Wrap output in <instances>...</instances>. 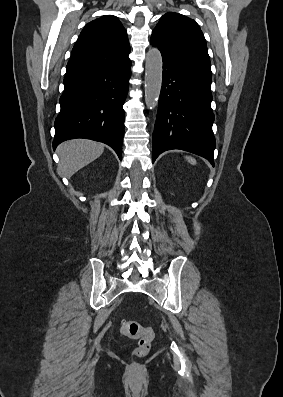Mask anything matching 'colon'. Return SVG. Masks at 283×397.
Here are the masks:
<instances>
[{
	"label": "colon",
	"mask_w": 283,
	"mask_h": 397,
	"mask_svg": "<svg viewBox=\"0 0 283 397\" xmlns=\"http://www.w3.org/2000/svg\"><path fill=\"white\" fill-rule=\"evenodd\" d=\"M120 330L124 336L139 340V344L135 349L137 356H144L149 352L154 338V332L150 327L142 326L136 321L124 320L121 323Z\"/></svg>",
	"instance_id": "colon-1"
}]
</instances>
